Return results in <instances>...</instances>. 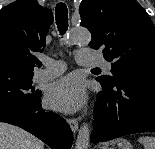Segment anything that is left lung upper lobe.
Returning a JSON list of instances; mask_svg holds the SVG:
<instances>
[{
  "label": "left lung upper lobe",
  "instance_id": "1",
  "mask_svg": "<svg viewBox=\"0 0 155 149\" xmlns=\"http://www.w3.org/2000/svg\"><path fill=\"white\" fill-rule=\"evenodd\" d=\"M79 12L91 32L89 46L112 62L113 77L98 81L112 84L131 70L155 69V28L136 0H82Z\"/></svg>",
  "mask_w": 155,
  "mask_h": 149
}]
</instances>
